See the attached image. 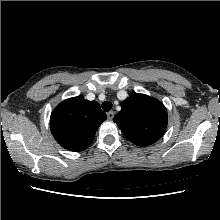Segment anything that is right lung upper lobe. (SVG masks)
<instances>
[{"mask_svg":"<svg viewBox=\"0 0 220 220\" xmlns=\"http://www.w3.org/2000/svg\"><path fill=\"white\" fill-rule=\"evenodd\" d=\"M106 118L96 101L77 96L63 101L54 109L50 129L63 148L78 152L90 146L98 127Z\"/></svg>","mask_w":220,"mask_h":220,"instance_id":"obj_1","label":"right lung upper lobe"}]
</instances>
